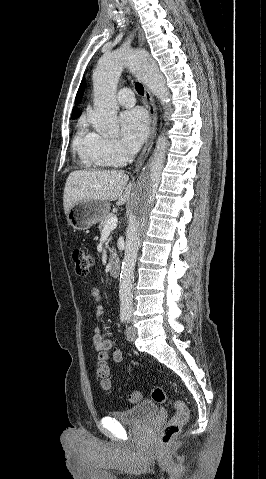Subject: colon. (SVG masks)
Wrapping results in <instances>:
<instances>
[{
  "label": "colon",
  "instance_id": "obj_1",
  "mask_svg": "<svg viewBox=\"0 0 266 479\" xmlns=\"http://www.w3.org/2000/svg\"><path fill=\"white\" fill-rule=\"evenodd\" d=\"M72 261L76 273L79 276H86L93 265L92 255L80 248L73 250ZM109 375L110 371L107 365V354L101 352L97 357L96 376L101 388L105 391H108L111 387ZM151 397L157 403L170 404L175 410L174 415L170 418L160 436L161 443L163 445H168L179 434L183 425L188 421L190 411L183 401L170 398L161 387H155L151 393ZM142 399L143 393L139 390H135L129 395V401L132 403L139 402Z\"/></svg>",
  "mask_w": 266,
  "mask_h": 479
}]
</instances>
